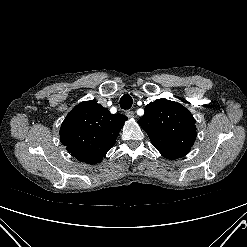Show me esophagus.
I'll return each mask as SVG.
<instances>
[{"label": "esophagus", "instance_id": "esophagus-1", "mask_svg": "<svg viewBox=\"0 0 247 247\" xmlns=\"http://www.w3.org/2000/svg\"><path fill=\"white\" fill-rule=\"evenodd\" d=\"M125 114L128 118H134V112L133 111L128 110L125 112Z\"/></svg>", "mask_w": 247, "mask_h": 247}]
</instances>
